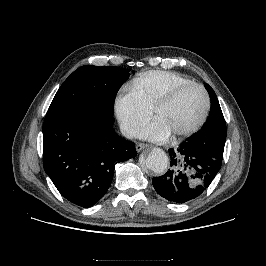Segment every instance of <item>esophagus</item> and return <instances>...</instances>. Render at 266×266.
I'll list each match as a JSON object with an SVG mask.
<instances>
[{
	"mask_svg": "<svg viewBox=\"0 0 266 266\" xmlns=\"http://www.w3.org/2000/svg\"><path fill=\"white\" fill-rule=\"evenodd\" d=\"M147 147H149V145L145 144V143H137L136 144V150L138 152H140L141 150H143L144 148H147Z\"/></svg>",
	"mask_w": 266,
	"mask_h": 266,
	"instance_id": "obj_1",
	"label": "esophagus"
}]
</instances>
